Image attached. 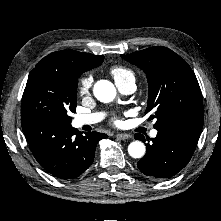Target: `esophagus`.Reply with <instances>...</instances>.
Segmentation results:
<instances>
[{
    "instance_id": "esophagus-1",
    "label": "esophagus",
    "mask_w": 221,
    "mask_h": 221,
    "mask_svg": "<svg viewBox=\"0 0 221 221\" xmlns=\"http://www.w3.org/2000/svg\"><path fill=\"white\" fill-rule=\"evenodd\" d=\"M116 137L121 140H127L130 138V136L128 134H123V133L117 134Z\"/></svg>"
}]
</instances>
